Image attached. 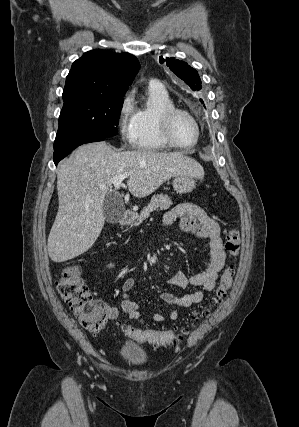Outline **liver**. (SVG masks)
Listing matches in <instances>:
<instances>
[{"label": "liver", "mask_w": 299, "mask_h": 427, "mask_svg": "<svg viewBox=\"0 0 299 427\" xmlns=\"http://www.w3.org/2000/svg\"><path fill=\"white\" fill-rule=\"evenodd\" d=\"M120 174H129L130 193L143 198L171 177L186 174L201 179L204 170L178 152H119L105 142L80 146L57 171L59 208L47 245L52 261L71 260L93 246L104 227L103 202L108 187Z\"/></svg>", "instance_id": "liver-1"}]
</instances>
